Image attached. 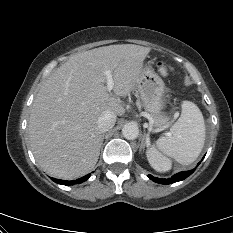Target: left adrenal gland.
<instances>
[{"instance_id": "left-adrenal-gland-1", "label": "left adrenal gland", "mask_w": 233, "mask_h": 233, "mask_svg": "<svg viewBox=\"0 0 233 233\" xmlns=\"http://www.w3.org/2000/svg\"><path fill=\"white\" fill-rule=\"evenodd\" d=\"M144 140H145V138H143V140H142V144H141V147H140V151L144 150V148H145Z\"/></svg>"}]
</instances>
